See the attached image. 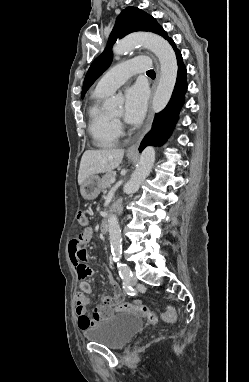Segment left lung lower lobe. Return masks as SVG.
Returning a JSON list of instances; mask_svg holds the SVG:
<instances>
[{
  "label": "left lung lower lobe",
  "mask_w": 249,
  "mask_h": 382,
  "mask_svg": "<svg viewBox=\"0 0 249 382\" xmlns=\"http://www.w3.org/2000/svg\"><path fill=\"white\" fill-rule=\"evenodd\" d=\"M167 40L176 52L178 63L177 81L170 102L163 111L156 114L150 132L141 142L140 151L148 145H162L168 139L177 121L179 110L184 102V94L187 90V72L183 64L182 55L176 48L174 41L171 38Z\"/></svg>",
  "instance_id": "obj_1"
}]
</instances>
